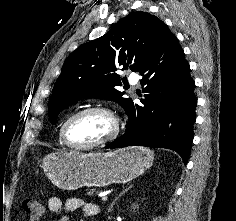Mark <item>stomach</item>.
I'll return each instance as SVG.
<instances>
[{
  "mask_svg": "<svg viewBox=\"0 0 236 221\" xmlns=\"http://www.w3.org/2000/svg\"><path fill=\"white\" fill-rule=\"evenodd\" d=\"M145 147H128L107 153L61 151L47 155L42 168L48 179L63 190L126 183L140 176L153 162Z\"/></svg>",
  "mask_w": 236,
  "mask_h": 221,
  "instance_id": "0dacf381",
  "label": "stomach"
}]
</instances>
